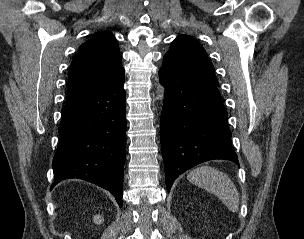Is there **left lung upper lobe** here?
Here are the masks:
<instances>
[{"label": "left lung upper lobe", "instance_id": "5c2ea615", "mask_svg": "<svg viewBox=\"0 0 304 239\" xmlns=\"http://www.w3.org/2000/svg\"><path fill=\"white\" fill-rule=\"evenodd\" d=\"M166 58L177 63L185 72L218 86L214 68L204 48L187 35L178 36L170 45Z\"/></svg>", "mask_w": 304, "mask_h": 239}]
</instances>
